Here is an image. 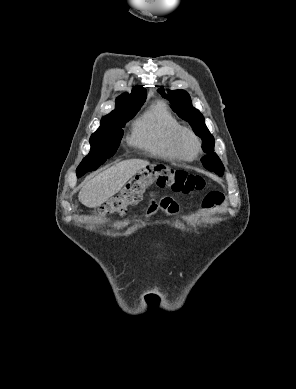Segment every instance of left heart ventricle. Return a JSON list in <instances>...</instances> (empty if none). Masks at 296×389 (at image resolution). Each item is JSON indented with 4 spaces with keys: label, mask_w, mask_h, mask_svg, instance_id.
Here are the masks:
<instances>
[{
    "label": "left heart ventricle",
    "mask_w": 296,
    "mask_h": 389,
    "mask_svg": "<svg viewBox=\"0 0 296 389\" xmlns=\"http://www.w3.org/2000/svg\"><path fill=\"white\" fill-rule=\"evenodd\" d=\"M184 152L191 156L194 153V146L190 141H185L184 143Z\"/></svg>",
    "instance_id": "obj_1"
}]
</instances>
